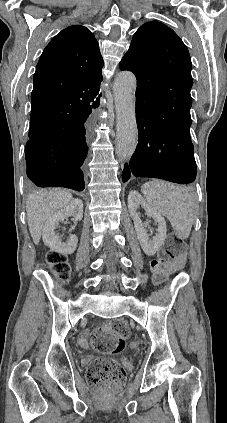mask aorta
<instances>
[{
	"mask_svg": "<svg viewBox=\"0 0 227 423\" xmlns=\"http://www.w3.org/2000/svg\"><path fill=\"white\" fill-rule=\"evenodd\" d=\"M136 77L129 71L118 74L113 93L117 116L116 154L121 160L130 159L138 139L135 115Z\"/></svg>",
	"mask_w": 227,
	"mask_h": 423,
	"instance_id": "aorta-1",
	"label": "aorta"
}]
</instances>
